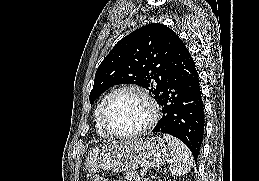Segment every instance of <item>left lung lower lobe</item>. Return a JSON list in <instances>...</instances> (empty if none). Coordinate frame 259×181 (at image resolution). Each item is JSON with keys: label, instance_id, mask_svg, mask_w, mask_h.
Instances as JSON below:
<instances>
[{"label": "left lung lower lobe", "instance_id": "1", "mask_svg": "<svg viewBox=\"0 0 259 181\" xmlns=\"http://www.w3.org/2000/svg\"><path fill=\"white\" fill-rule=\"evenodd\" d=\"M198 72L193 58L178 37L173 68L156 100L163 117L152 132L175 136L185 143L197 160L204 134V106Z\"/></svg>", "mask_w": 259, "mask_h": 181}]
</instances>
